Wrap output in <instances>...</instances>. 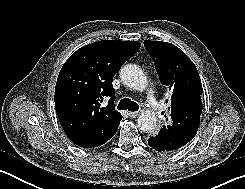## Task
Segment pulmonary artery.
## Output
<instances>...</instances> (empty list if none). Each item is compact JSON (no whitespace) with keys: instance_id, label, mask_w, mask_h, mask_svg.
Returning a JSON list of instances; mask_svg holds the SVG:
<instances>
[{"instance_id":"pulmonary-artery-1","label":"pulmonary artery","mask_w":245,"mask_h":189,"mask_svg":"<svg viewBox=\"0 0 245 189\" xmlns=\"http://www.w3.org/2000/svg\"><path fill=\"white\" fill-rule=\"evenodd\" d=\"M148 102L151 105L153 110H157L158 103L156 101V98H155V95H154V91L152 89H150L148 91Z\"/></svg>"}]
</instances>
